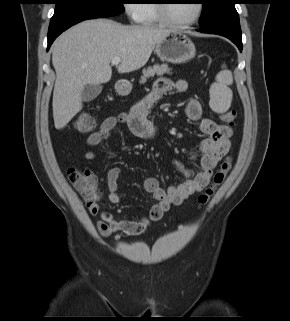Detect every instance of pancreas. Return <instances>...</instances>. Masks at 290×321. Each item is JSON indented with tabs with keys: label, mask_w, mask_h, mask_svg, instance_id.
Returning a JSON list of instances; mask_svg holds the SVG:
<instances>
[{
	"label": "pancreas",
	"mask_w": 290,
	"mask_h": 321,
	"mask_svg": "<svg viewBox=\"0 0 290 321\" xmlns=\"http://www.w3.org/2000/svg\"><path fill=\"white\" fill-rule=\"evenodd\" d=\"M170 69L168 65H154L153 67H149L143 71V76L141 77L140 83H145L147 78L153 77L155 74L163 75L165 73H169Z\"/></svg>",
	"instance_id": "pancreas-1"
}]
</instances>
